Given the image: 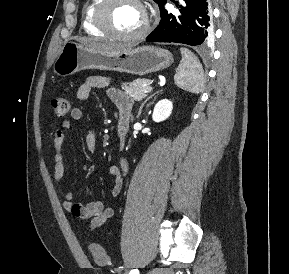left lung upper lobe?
<instances>
[{
  "instance_id": "left-lung-upper-lobe-1",
  "label": "left lung upper lobe",
  "mask_w": 289,
  "mask_h": 274,
  "mask_svg": "<svg viewBox=\"0 0 289 274\" xmlns=\"http://www.w3.org/2000/svg\"><path fill=\"white\" fill-rule=\"evenodd\" d=\"M157 4H158V6L160 7L161 5H162V3L164 2V1H166V0H154Z\"/></svg>"
}]
</instances>
